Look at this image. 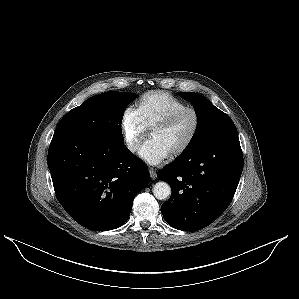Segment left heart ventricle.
Here are the masks:
<instances>
[{"mask_svg":"<svg viewBox=\"0 0 299 299\" xmlns=\"http://www.w3.org/2000/svg\"><path fill=\"white\" fill-rule=\"evenodd\" d=\"M194 118L186 114L166 129H156L150 137L158 140L171 154L178 149L191 134Z\"/></svg>","mask_w":299,"mask_h":299,"instance_id":"b2bd125f","label":"left heart ventricle"}]
</instances>
